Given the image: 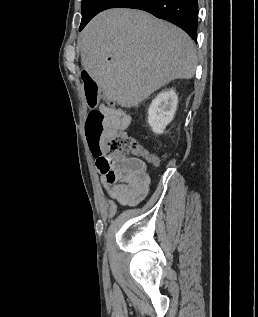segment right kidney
Returning <instances> with one entry per match:
<instances>
[{
  "mask_svg": "<svg viewBox=\"0 0 258 317\" xmlns=\"http://www.w3.org/2000/svg\"><path fill=\"white\" fill-rule=\"evenodd\" d=\"M177 106L178 96L173 88L163 90L157 94L156 98H153L148 108V122L153 132L157 134L164 132L167 124L173 120Z\"/></svg>",
  "mask_w": 258,
  "mask_h": 317,
  "instance_id": "right-kidney-1",
  "label": "right kidney"
}]
</instances>
